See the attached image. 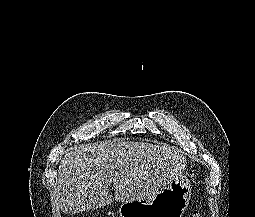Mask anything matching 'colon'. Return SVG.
<instances>
[{"mask_svg":"<svg viewBox=\"0 0 255 217\" xmlns=\"http://www.w3.org/2000/svg\"><path fill=\"white\" fill-rule=\"evenodd\" d=\"M193 217H199V213L198 212H194Z\"/></svg>","mask_w":255,"mask_h":217,"instance_id":"obj_1","label":"colon"}]
</instances>
